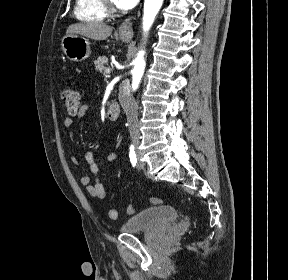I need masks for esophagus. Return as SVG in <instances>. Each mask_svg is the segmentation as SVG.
<instances>
[{
  "mask_svg": "<svg viewBox=\"0 0 288 280\" xmlns=\"http://www.w3.org/2000/svg\"><path fill=\"white\" fill-rule=\"evenodd\" d=\"M135 17L131 16L125 19L118 28L119 36L126 39L133 37V21Z\"/></svg>",
  "mask_w": 288,
  "mask_h": 280,
  "instance_id": "34e87169",
  "label": "esophagus"
}]
</instances>
